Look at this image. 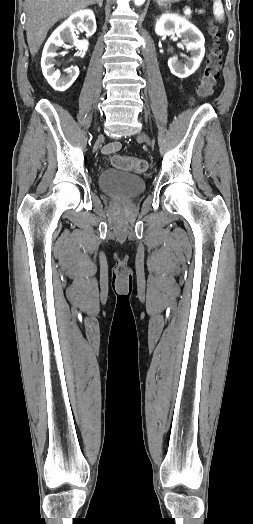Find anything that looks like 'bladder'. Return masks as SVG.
Masks as SVG:
<instances>
[{
	"instance_id": "obj_1",
	"label": "bladder",
	"mask_w": 253,
	"mask_h": 524,
	"mask_svg": "<svg viewBox=\"0 0 253 524\" xmlns=\"http://www.w3.org/2000/svg\"><path fill=\"white\" fill-rule=\"evenodd\" d=\"M98 186L108 197L130 200L145 191L146 181L143 177L132 173L104 169L98 175Z\"/></svg>"
}]
</instances>
